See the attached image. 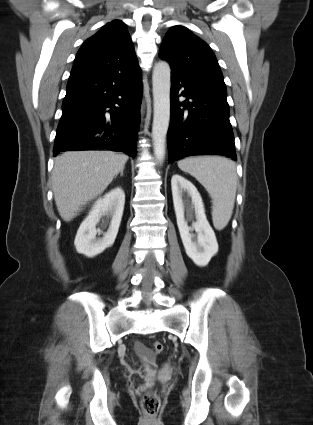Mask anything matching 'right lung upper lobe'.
Instances as JSON below:
<instances>
[{
    "mask_svg": "<svg viewBox=\"0 0 313 425\" xmlns=\"http://www.w3.org/2000/svg\"><path fill=\"white\" fill-rule=\"evenodd\" d=\"M138 66L125 23L113 20L84 42L76 55L71 72L107 68L129 71Z\"/></svg>",
    "mask_w": 313,
    "mask_h": 425,
    "instance_id": "right-lung-upper-lobe-1",
    "label": "right lung upper lobe"
}]
</instances>
